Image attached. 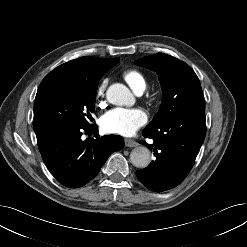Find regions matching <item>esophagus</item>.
<instances>
[{"label": "esophagus", "mask_w": 247, "mask_h": 247, "mask_svg": "<svg viewBox=\"0 0 247 247\" xmlns=\"http://www.w3.org/2000/svg\"><path fill=\"white\" fill-rule=\"evenodd\" d=\"M125 145L127 147H136V146H138V143L133 139L126 138L125 139Z\"/></svg>", "instance_id": "1"}]
</instances>
